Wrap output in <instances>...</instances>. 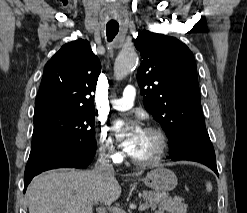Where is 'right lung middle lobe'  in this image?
<instances>
[{
	"label": "right lung middle lobe",
	"instance_id": "1",
	"mask_svg": "<svg viewBox=\"0 0 247 213\" xmlns=\"http://www.w3.org/2000/svg\"><path fill=\"white\" fill-rule=\"evenodd\" d=\"M95 111L50 108L34 113L30 155L61 141L75 150H95Z\"/></svg>",
	"mask_w": 247,
	"mask_h": 213
}]
</instances>
